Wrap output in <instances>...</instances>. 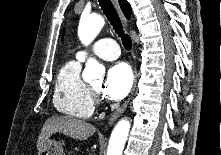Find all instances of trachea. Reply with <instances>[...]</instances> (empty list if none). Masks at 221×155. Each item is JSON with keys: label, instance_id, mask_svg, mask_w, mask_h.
I'll list each match as a JSON object with an SVG mask.
<instances>
[{"label": "trachea", "instance_id": "3493384b", "mask_svg": "<svg viewBox=\"0 0 221 155\" xmlns=\"http://www.w3.org/2000/svg\"><path fill=\"white\" fill-rule=\"evenodd\" d=\"M98 1L101 6V9L103 10L110 24L113 26L115 32L118 34L119 37H121L125 49L130 50L132 47L131 38L129 37V35L125 34L120 18L111 0H98Z\"/></svg>", "mask_w": 221, "mask_h": 155}]
</instances>
